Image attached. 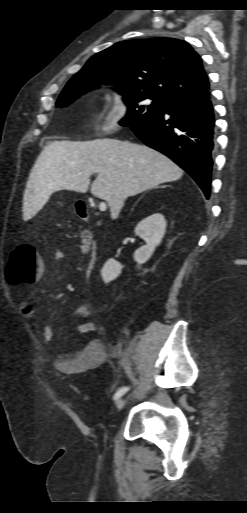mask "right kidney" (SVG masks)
<instances>
[{
	"mask_svg": "<svg viewBox=\"0 0 247 513\" xmlns=\"http://www.w3.org/2000/svg\"><path fill=\"white\" fill-rule=\"evenodd\" d=\"M167 222L164 215L155 213L138 223L135 227V234L142 238L146 245L141 246L134 253V259L138 264L145 263L153 254L155 248L161 243L165 234ZM122 266L114 259H109L101 270V276L105 283L117 278L121 273Z\"/></svg>",
	"mask_w": 247,
	"mask_h": 513,
	"instance_id": "right-kidney-1",
	"label": "right kidney"
}]
</instances>
